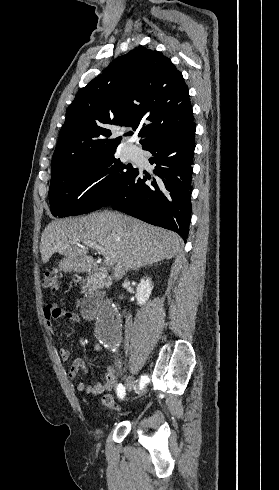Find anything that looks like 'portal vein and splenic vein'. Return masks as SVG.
<instances>
[{"mask_svg": "<svg viewBox=\"0 0 279 490\" xmlns=\"http://www.w3.org/2000/svg\"><path fill=\"white\" fill-rule=\"evenodd\" d=\"M85 246H88V248H95V250H101L100 246H97V244H90V242H84ZM83 248V246H82ZM102 252V250H101ZM105 264L106 266H114L115 264V256L114 254H108L105 258Z\"/></svg>", "mask_w": 279, "mask_h": 490, "instance_id": "portal-vein-and-splenic-vein-1", "label": "portal vein and splenic vein"}]
</instances>
